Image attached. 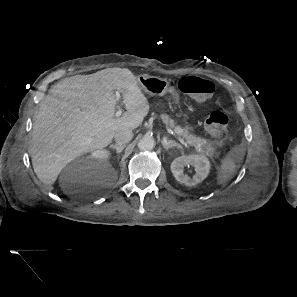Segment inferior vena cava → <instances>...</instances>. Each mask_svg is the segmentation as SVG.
Returning <instances> with one entry per match:
<instances>
[{"instance_id":"obj_1","label":"inferior vena cava","mask_w":297,"mask_h":297,"mask_svg":"<svg viewBox=\"0 0 297 297\" xmlns=\"http://www.w3.org/2000/svg\"><path fill=\"white\" fill-rule=\"evenodd\" d=\"M115 141L117 145L124 146L128 142H130L133 138V132L130 129H124L121 131H118L115 136Z\"/></svg>"}]
</instances>
